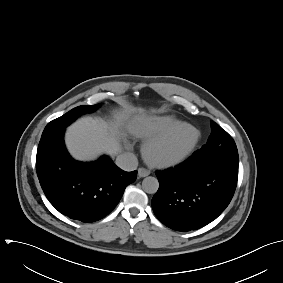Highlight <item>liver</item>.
Returning <instances> with one entry per match:
<instances>
[{"label": "liver", "instance_id": "obj_1", "mask_svg": "<svg viewBox=\"0 0 283 283\" xmlns=\"http://www.w3.org/2000/svg\"><path fill=\"white\" fill-rule=\"evenodd\" d=\"M135 111L143 112L142 109H129V112ZM127 118V113L117 112L110 121L92 117L77 120L67 128L65 141L68 151L81 161L93 160L102 153L117 155L122 149L120 126ZM142 119L143 114L129 124V130L137 133Z\"/></svg>", "mask_w": 283, "mask_h": 283}]
</instances>
